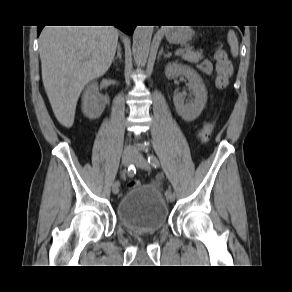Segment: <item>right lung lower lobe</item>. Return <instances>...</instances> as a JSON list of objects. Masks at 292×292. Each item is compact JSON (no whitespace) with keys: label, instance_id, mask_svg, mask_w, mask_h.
<instances>
[{"label":"right lung lower lobe","instance_id":"obj_1","mask_svg":"<svg viewBox=\"0 0 292 292\" xmlns=\"http://www.w3.org/2000/svg\"><path fill=\"white\" fill-rule=\"evenodd\" d=\"M117 28L121 29L125 33L132 35L135 26L134 25H129V24H121V25H116ZM43 27L38 26L37 28V34L39 35Z\"/></svg>","mask_w":292,"mask_h":292}]
</instances>
